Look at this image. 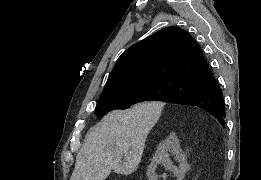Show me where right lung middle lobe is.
<instances>
[{
    "label": "right lung middle lobe",
    "mask_w": 261,
    "mask_h": 180,
    "mask_svg": "<svg viewBox=\"0 0 261 180\" xmlns=\"http://www.w3.org/2000/svg\"><path fill=\"white\" fill-rule=\"evenodd\" d=\"M199 83L172 79L136 84L102 94L96 105L97 116L103 117L116 109H127L133 104L144 101H165L193 91Z\"/></svg>",
    "instance_id": "1"
}]
</instances>
